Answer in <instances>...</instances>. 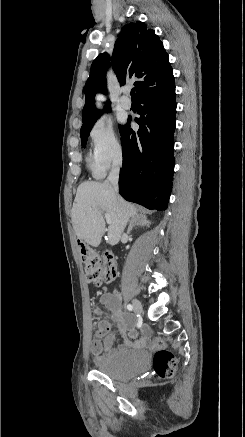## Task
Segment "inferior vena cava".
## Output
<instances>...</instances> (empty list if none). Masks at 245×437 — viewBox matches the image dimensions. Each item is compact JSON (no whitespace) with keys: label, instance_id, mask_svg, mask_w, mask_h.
Listing matches in <instances>:
<instances>
[{"label":"inferior vena cava","instance_id":"obj_1","mask_svg":"<svg viewBox=\"0 0 245 437\" xmlns=\"http://www.w3.org/2000/svg\"><path fill=\"white\" fill-rule=\"evenodd\" d=\"M121 165H122V156L118 155L113 160L112 168H111V171L109 173L108 180H107L111 184L115 194L118 193V179H119Z\"/></svg>","mask_w":245,"mask_h":437}]
</instances>
